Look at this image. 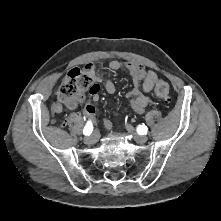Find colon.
<instances>
[{
    "label": "colon",
    "mask_w": 221,
    "mask_h": 221,
    "mask_svg": "<svg viewBox=\"0 0 221 221\" xmlns=\"http://www.w3.org/2000/svg\"><path fill=\"white\" fill-rule=\"evenodd\" d=\"M92 78L87 71L74 68L67 73L63 79L58 96L62 101L76 100L80 101L84 98L85 93L90 85ZM170 88L167 82L159 81L155 86V94L163 99L169 98Z\"/></svg>",
    "instance_id": "obj_1"
}]
</instances>
